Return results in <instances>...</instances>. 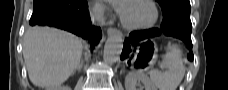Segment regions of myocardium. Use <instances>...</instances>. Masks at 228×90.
<instances>
[{"mask_svg": "<svg viewBox=\"0 0 228 90\" xmlns=\"http://www.w3.org/2000/svg\"><path fill=\"white\" fill-rule=\"evenodd\" d=\"M135 1H144V2L148 3L152 7V10H153V18L148 23L141 24V25H132V24H129L123 18L122 13H120V22H121L122 26L127 29H130V30H144V29H149V28H152L153 26H155V24L157 23L158 18H159V11H158V8H157L155 2L152 0H126V1H124L123 7L125 4L132 3Z\"/></svg>", "mask_w": 228, "mask_h": 90, "instance_id": "obj_1", "label": "myocardium"}]
</instances>
